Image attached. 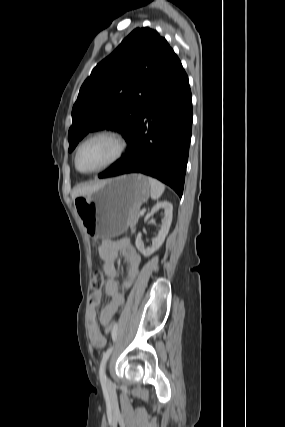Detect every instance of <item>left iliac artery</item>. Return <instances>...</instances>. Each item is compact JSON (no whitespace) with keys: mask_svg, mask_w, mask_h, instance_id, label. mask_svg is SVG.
Listing matches in <instances>:
<instances>
[{"mask_svg":"<svg viewBox=\"0 0 285 427\" xmlns=\"http://www.w3.org/2000/svg\"><path fill=\"white\" fill-rule=\"evenodd\" d=\"M112 339H113V342L115 343L116 340H117V333L116 332H114L112 334ZM112 350H113V346H111L110 348H108L106 350V352H104V354H103V357H102V360H101V364H100V369H99V377H100L101 383H105L106 382V375H105V372H104V368H105V364H106L107 359L109 358L110 354L112 353Z\"/></svg>","mask_w":285,"mask_h":427,"instance_id":"44dca946","label":"left iliac artery"}]
</instances>
